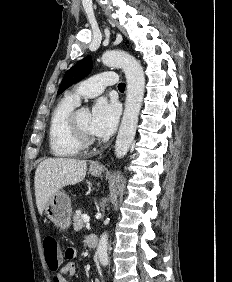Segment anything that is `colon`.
Wrapping results in <instances>:
<instances>
[{
    "label": "colon",
    "instance_id": "colon-1",
    "mask_svg": "<svg viewBox=\"0 0 232 282\" xmlns=\"http://www.w3.org/2000/svg\"><path fill=\"white\" fill-rule=\"evenodd\" d=\"M45 260L51 271H56L61 265L63 254L55 237L47 235L43 238ZM66 255V250L64 256Z\"/></svg>",
    "mask_w": 232,
    "mask_h": 282
}]
</instances>
